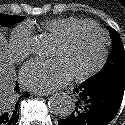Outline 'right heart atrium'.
I'll list each match as a JSON object with an SVG mask.
<instances>
[{
	"label": "right heart atrium",
	"mask_w": 125,
	"mask_h": 125,
	"mask_svg": "<svg viewBox=\"0 0 125 125\" xmlns=\"http://www.w3.org/2000/svg\"><path fill=\"white\" fill-rule=\"evenodd\" d=\"M9 51L15 62H21L33 53L34 38L32 28L28 24L17 26L9 39Z\"/></svg>",
	"instance_id": "right-heart-atrium-1"
}]
</instances>
